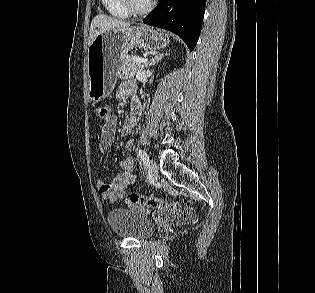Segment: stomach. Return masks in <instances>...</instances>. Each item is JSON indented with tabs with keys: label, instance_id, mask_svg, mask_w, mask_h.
Listing matches in <instances>:
<instances>
[{
	"label": "stomach",
	"instance_id": "1",
	"mask_svg": "<svg viewBox=\"0 0 315 293\" xmlns=\"http://www.w3.org/2000/svg\"><path fill=\"white\" fill-rule=\"evenodd\" d=\"M169 43L168 35L149 26H133L99 33L88 47V97L101 101L113 91L121 59L133 48L157 50Z\"/></svg>",
	"mask_w": 315,
	"mask_h": 293
}]
</instances>
